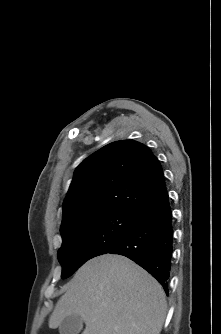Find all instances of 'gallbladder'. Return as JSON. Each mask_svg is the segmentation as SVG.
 Segmentation results:
<instances>
[{
    "label": "gallbladder",
    "mask_w": 221,
    "mask_h": 334,
    "mask_svg": "<svg viewBox=\"0 0 221 334\" xmlns=\"http://www.w3.org/2000/svg\"><path fill=\"white\" fill-rule=\"evenodd\" d=\"M83 328V319L78 315L67 316L59 326L60 334H79Z\"/></svg>",
    "instance_id": "1"
}]
</instances>
